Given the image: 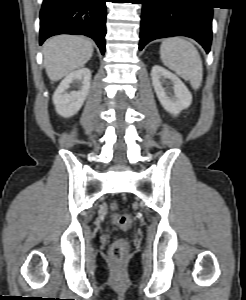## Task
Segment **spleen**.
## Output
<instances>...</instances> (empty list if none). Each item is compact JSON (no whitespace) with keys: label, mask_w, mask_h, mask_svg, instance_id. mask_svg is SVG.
<instances>
[{"label":"spleen","mask_w":246,"mask_h":300,"mask_svg":"<svg viewBox=\"0 0 246 300\" xmlns=\"http://www.w3.org/2000/svg\"><path fill=\"white\" fill-rule=\"evenodd\" d=\"M160 57L166 67L190 81L194 89L200 87L203 77L202 60L191 42L180 37L167 38L160 46Z\"/></svg>","instance_id":"obj_1"}]
</instances>
